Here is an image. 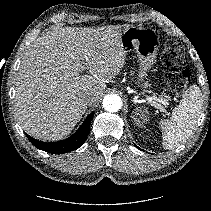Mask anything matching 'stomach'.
Returning a JSON list of instances; mask_svg holds the SVG:
<instances>
[{"mask_svg": "<svg viewBox=\"0 0 211 211\" xmlns=\"http://www.w3.org/2000/svg\"><path fill=\"white\" fill-rule=\"evenodd\" d=\"M120 43L125 53L135 50L139 59V73L137 84L146 86L144 79L147 72L156 62L159 50V39L150 28L130 26L126 28L121 36Z\"/></svg>", "mask_w": 211, "mask_h": 211, "instance_id": "obj_1", "label": "stomach"}]
</instances>
